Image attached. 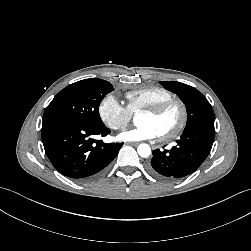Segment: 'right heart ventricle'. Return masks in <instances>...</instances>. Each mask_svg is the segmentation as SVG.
I'll use <instances>...</instances> for the list:
<instances>
[{
	"instance_id": "e07e8e85",
	"label": "right heart ventricle",
	"mask_w": 251,
	"mask_h": 251,
	"mask_svg": "<svg viewBox=\"0 0 251 251\" xmlns=\"http://www.w3.org/2000/svg\"><path fill=\"white\" fill-rule=\"evenodd\" d=\"M125 97L130 112L136 113L147 107L173 99L174 94L164 87L153 86L127 92Z\"/></svg>"
}]
</instances>
